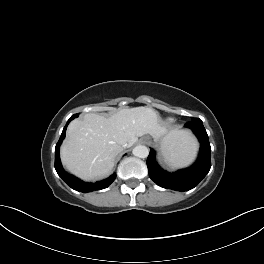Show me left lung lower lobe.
I'll list each match as a JSON object with an SVG mask.
<instances>
[{"label":"left lung lower lobe","instance_id":"obj_1","mask_svg":"<svg viewBox=\"0 0 264 264\" xmlns=\"http://www.w3.org/2000/svg\"><path fill=\"white\" fill-rule=\"evenodd\" d=\"M192 129L200 142V155L195 165L174 173L161 169L155 159V151L150 149L147 158L149 177L160 187L176 191L193 189L206 176L211 168V147L207 132L200 119L185 124Z\"/></svg>","mask_w":264,"mask_h":264}]
</instances>
